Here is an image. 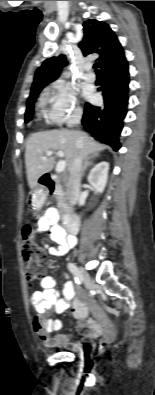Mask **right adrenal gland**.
Wrapping results in <instances>:
<instances>
[{
  "label": "right adrenal gland",
  "instance_id": "obj_1",
  "mask_svg": "<svg viewBox=\"0 0 155 395\" xmlns=\"http://www.w3.org/2000/svg\"><path fill=\"white\" fill-rule=\"evenodd\" d=\"M96 157H98V155H97V154H94V155H91V156H89V157L86 158V160H85V162H84L83 169H82V173H81V176H82V177L84 176L85 170H86L89 166H92V165H93V163H92L91 160L94 159V158H96Z\"/></svg>",
  "mask_w": 155,
  "mask_h": 395
}]
</instances>
